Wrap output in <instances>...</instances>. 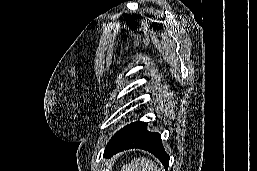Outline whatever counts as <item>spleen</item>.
Wrapping results in <instances>:
<instances>
[{
	"mask_svg": "<svg viewBox=\"0 0 257 171\" xmlns=\"http://www.w3.org/2000/svg\"><path fill=\"white\" fill-rule=\"evenodd\" d=\"M121 171H160L157 164L152 160L140 157L135 158L131 163L124 165Z\"/></svg>",
	"mask_w": 257,
	"mask_h": 171,
	"instance_id": "obj_1",
	"label": "spleen"
}]
</instances>
